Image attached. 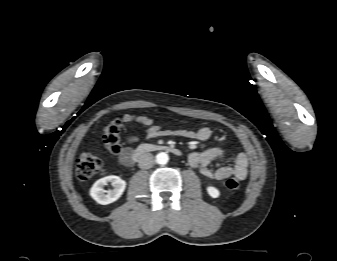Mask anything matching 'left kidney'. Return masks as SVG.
Listing matches in <instances>:
<instances>
[{"mask_svg":"<svg viewBox=\"0 0 337 261\" xmlns=\"http://www.w3.org/2000/svg\"><path fill=\"white\" fill-rule=\"evenodd\" d=\"M207 192L212 198H217L220 195L219 190L217 188L213 187V186H208Z\"/></svg>","mask_w":337,"mask_h":261,"instance_id":"5707ae66","label":"left kidney"}]
</instances>
